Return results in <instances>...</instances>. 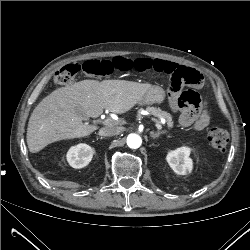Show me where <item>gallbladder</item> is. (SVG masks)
<instances>
[{
  "label": "gallbladder",
  "instance_id": "gallbladder-1",
  "mask_svg": "<svg viewBox=\"0 0 250 250\" xmlns=\"http://www.w3.org/2000/svg\"><path fill=\"white\" fill-rule=\"evenodd\" d=\"M76 112H77V114H79V115H83V114H84L83 111H82L81 109H79V108L76 109Z\"/></svg>",
  "mask_w": 250,
  "mask_h": 250
}]
</instances>
